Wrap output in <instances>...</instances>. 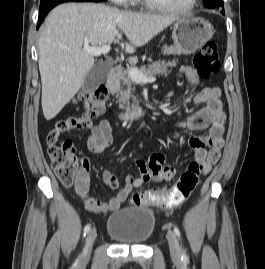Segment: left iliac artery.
I'll list each match as a JSON object with an SVG mask.
<instances>
[{
    "mask_svg": "<svg viewBox=\"0 0 265 269\" xmlns=\"http://www.w3.org/2000/svg\"><path fill=\"white\" fill-rule=\"evenodd\" d=\"M174 233L176 234V236L178 237V238H180L181 237V233H180V230L177 228V227H174ZM182 260H187V256H186V254H185V252L183 251V253H182Z\"/></svg>",
    "mask_w": 265,
    "mask_h": 269,
    "instance_id": "1",
    "label": "left iliac artery"
}]
</instances>
